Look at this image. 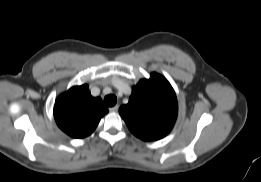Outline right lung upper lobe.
I'll use <instances>...</instances> for the list:
<instances>
[{"mask_svg":"<svg viewBox=\"0 0 261 182\" xmlns=\"http://www.w3.org/2000/svg\"><path fill=\"white\" fill-rule=\"evenodd\" d=\"M108 113L100 97H92L87 85L74 86L60 95L54 105L59 128L73 138H84Z\"/></svg>","mask_w":261,"mask_h":182,"instance_id":"obj_1","label":"right lung upper lobe"}]
</instances>
